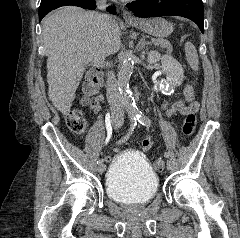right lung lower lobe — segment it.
I'll return each instance as SVG.
<instances>
[{
	"mask_svg": "<svg viewBox=\"0 0 240 238\" xmlns=\"http://www.w3.org/2000/svg\"><path fill=\"white\" fill-rule=\"evenodd\" d=\"M94 1L95 0H57L52 5H50L45 11L39 13V21H41L43 17L53 9H56L58 7L65 6V5H74V6H79L85 9L94 10L96 8ZM107 11L110 13L116 14V9L114 6L108 7Z\"/></svg>",
	"mask_w": 240,
	"mask_h": 238,
	"instance_id": "obj_1",
	"label": "right lung lower lobe"
}]
</instances>
